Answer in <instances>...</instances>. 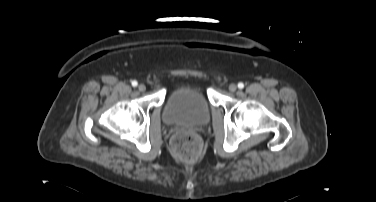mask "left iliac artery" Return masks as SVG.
Listing matches in <instances>:
<instances>
[{
    "label": "left iliac artery",
    "mask_w": 376,
    "mask_h": 202,
    "mask_svg": "<svg viewBox=\"0 0 376 202\" xmlns=\"http://www.w3.org/2000/svg\"><path fill=\"white\" fill-rule=\"evenodd\" d=\"M238 88L243 89L244 88V84L242 82L238 83Z\"/></svg>",
    "instance_id": "left-iliac-artery-1"
}]
</instances>
